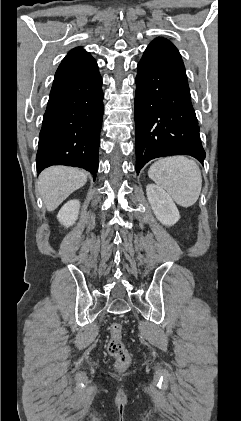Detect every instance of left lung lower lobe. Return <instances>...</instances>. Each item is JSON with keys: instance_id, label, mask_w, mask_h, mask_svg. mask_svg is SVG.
I'll return each mask as SVG.
<instances>
[{"instance_id": "0a47b994", "label": "left lung lower lobe", "mask_w": 241, "mask_h": 421, "mask_svg": "<svg viewBox=\"0 0 241 421\" xmlns=\"http://www.w3.org/2000/svg\"><path fill=\"white\" fill-rule=\"evenodd\" d=\"M135 94L136 172L151 159L190 155L202 164L205 151L177 48L153 40L138 63Z\"/></svg>"}]
</instances>
